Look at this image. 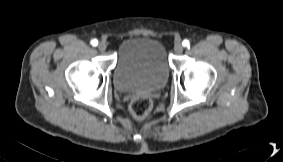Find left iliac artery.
I'll list each match as a JSON object with an SVG mask.
<instances>
[{"mask_svg":"<svg viewBox=\"0 0 283 162\" xmlns=\"http://www.w3.org/2000/svg\"><path fill=\"white\" fill-rule=\"evenodd\" d=\"M183 46L184 47H188L190 45L189 41L187 39H185L183 42H182Z\"/></svg>","mask_w":283,"mask_h":162,"instance_id":"obj_1","label":"left iliac artery"}]
</instances>
